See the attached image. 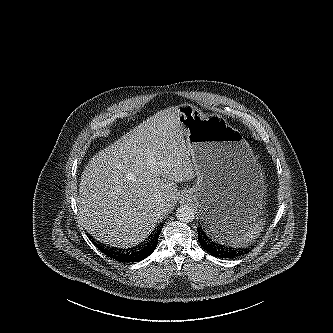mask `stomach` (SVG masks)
I'll return each instance as SVG.
<instances>
[{"label": "stomach", "mask_w": 333, "mask_h": 333, "mask_svg": "<svg viewBox=\"0 0 333 333\" xmlns=\"http://www.w3.org/2000/svg\"><path fill=\"white\" fill-rule=\"evenodd\" d=\"M178 109L197 176L188 198L220 239L238 242L253 235L266 222V189L251 146L220 115H205L186 103Z\"/></svg>", "instance_id": "obj_1"}]
</instances>
